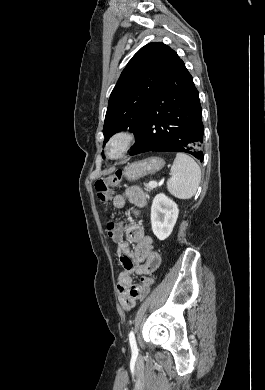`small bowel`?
<instances>
[{
  "mask_svg": "<svg viewBox=\"0 0 265 390\" xmlns=\"http://www.w3.org/2000/svg\"><path fill=\"white\" fill-rule=\"evenodd\" d=\"M146 202V194L139 187H130L124 194L113 198V205L118 209L131 203L135 207L133 213L136 217L140 216V210ZM120 233L121 237L116 241L117 253L124 270L118 276L117 289L122 307L130 310L141 298L140 284L133 282V276L153 273L160 266L161 257L153 250L152 238L145 233L140 223H131L125 228L120 225ZM124 234L126 240L123 238ZM130 243L135 244L133 251Z\"/></svg>",
  "mask_w": 265,
  "mask_h": 390,
  "instance_id": "c3829d8e",
  "label": "small bowel"
}]
</instances>
